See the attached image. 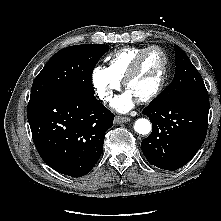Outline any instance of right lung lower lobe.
<instances>
[{
	"label": "right lung lower lobe",
	"mask_w": 221,
	"mask_h": 221,
	"mask_svg": "<svg viewBox=\"0 0 221 221\" xmlns=\"http://www.w3.org/2000/svg\"><path fill=\"white\" fill-rule=\"evenodd\" d=\"M27 116L41 158L57 172L72 177H81L94 167L114 119L94 94L33 99Z\"/></svg>",
	"instance_id": "1"
}]
</instances>
